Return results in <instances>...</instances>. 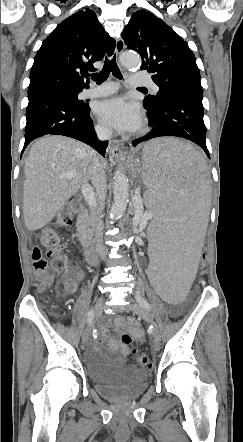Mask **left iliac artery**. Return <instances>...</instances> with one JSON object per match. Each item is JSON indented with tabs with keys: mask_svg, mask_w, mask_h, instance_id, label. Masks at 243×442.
Instances as JSON below:
<instances>
[{
	"mask_svg": "<svg viewBox=\"0 0 243 442\" xmlns=\"http://www.w3.org/2000/svg\"><path fill=\"white\" fill-rule=\"evenodd\" d=\"M136 300L137 302L144 307L146 310L150 311L151 310V306L148 303V301L141 295L139 288L136 291ZM150 331L152 332L153 326H150Z\"/></svg>",
	"mask_w": 243,
	"mask_h": 442,
	"instance_id": "44dca946",
	"label": "left iliac artery"
}]
</instances>
